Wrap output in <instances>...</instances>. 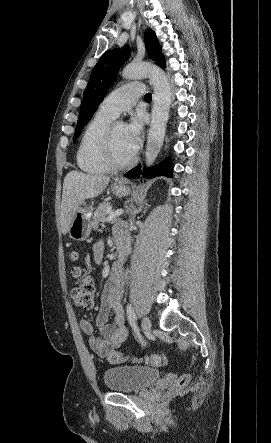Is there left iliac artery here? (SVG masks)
Returning a JSON list of instances; mask_svg holds the SVG:
<instances>
[{
    "label": "left iliac artery",
    "mask_w": 271,
    "mask_h": 443,
    "mask_svg": "<svg viewBox=\"0 0 271 443\" xmlns=\"http://www.w3.org/2000/svg\"><path fill=\"white\" fill-rule=\"evenodd\" d=\"M126 313H127L128 321H129L131 327L133 328L136 338L140 342L141 346L144 347L146 345V342L139 333V330H138V327L136 324V315H135L134 308H133L132 304L129 303L127 305Z\"/></svg>",
    "instance_id": "obj_1"
}]
</instances>
